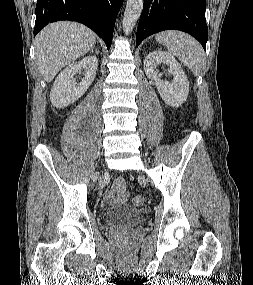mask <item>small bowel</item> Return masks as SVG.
Listing matches in <instances>:
<instances>
[{"label":"small bowel","mask_w":253,"mask_h":285,"mask_svg":"<svg viewBox=\"0 0 253 285\" xmlns=\"http://www.w3.org/2000/svg\"><path fill=\"white\" fill-rule=\"evenodd\" d=\"M128 197L129 192L124 180L122 178H117L106 196V201L108 204L114 206L125 203L128 200Z\"/></svg>","instance_id":"small-bowel-1"}]
</instances>
